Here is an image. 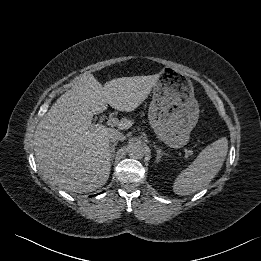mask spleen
Returning <instances> with one entry per match:
<instances>
[{"label": "spleen", "instance_id": "obj_1", "mask_svg": "<svg viewBox=\"0 0 261 261\" xmlns=\"http://www.w3.org/2000/svg\"><path fill=\"white\" fill-rule=\"evenodd\" d=\"M228 151V140L222 137L203 149L173 183L177 195H189L204 188L221 169Z\"/></svg>", "mask_w": 261, "mask_h": 261}]
</instances>
